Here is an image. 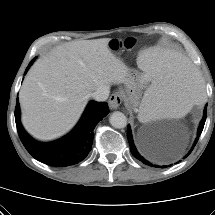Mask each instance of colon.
Returning <instances> with one entry per match:
<instances>
[{
  "label": "colon",
  "instance_id": "colon-1",
  "mask_svg": "<svg viewBox=\"0 0 215 215\" xmlns=\"http://www.w3.org/2000/svg\"><path fill=\"white\" fill-rule=\"evenodd\" d=\"M108 48L112 52L121 51L123 54H130L134 50V39L127 38L121 40L119 37H112L108 41Z\"/></svg>",
  "mask_w": 215,
  "mask_h": 215
}]
</instances>
